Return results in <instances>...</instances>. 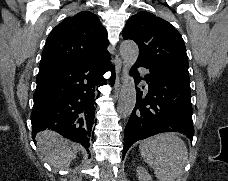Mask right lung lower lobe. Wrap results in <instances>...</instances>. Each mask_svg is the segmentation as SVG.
Wrapping results in <instances>:
<instances>
[{"label":"right lung lower lobe","mask_w":228,"mask_h":181,"mask_svg":"<svg viewBox=\"0 0 228 181\" xmlns=\"http://www.w3.org/2000/svg\"><path fill=\"white\" fill-rule=\"evenodd\" d=\"M109 60L110 55L38 73L31 113L33 138L48 128L89 148L95 100L100 96L98 86L105 83L106 71L111 70V81L115 80L114 66Z\"/></svg>","instance_id":"obj_1"}]
</instances>
